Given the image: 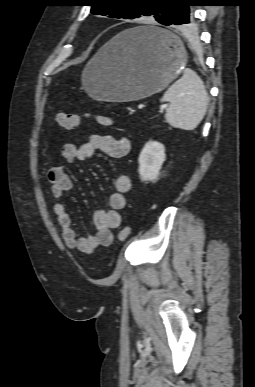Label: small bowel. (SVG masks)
Here are the masks:
<instances>
[{
    "instance_id": "obj_1",
    "label": "small bowel",
    "mask_w": 255,
    "mask_h": 387,
    "mask_svg": "<svg viewBox=\"0 0 255 387\" xmlns=\"http://www.w3.org/2000/svg\"><path fill=\"white\" fill-rule=\"evenodd\" d=\"M131 144L126 137L112 135L92 134L81 145L64 144L61 156L67 161H85L90 159L97 151L103 152L113 159H122L130 152ZM47 180L50 184L52 196L60 200L65 193L73 188L70 176L60 167H50L47 170ZM115 191L109 197V209H98L93 213L95 233L79 236L72 226L71 217L66 206L58 201L53 204V213L61 228L64 243L69 249L77 250L84 254H91L100 246H109L113 242V230L121 224L119 213L125 207V194L131 190L132 182L125 174L118 175L114 181Z\"/></svg>"
}]
</instances>
